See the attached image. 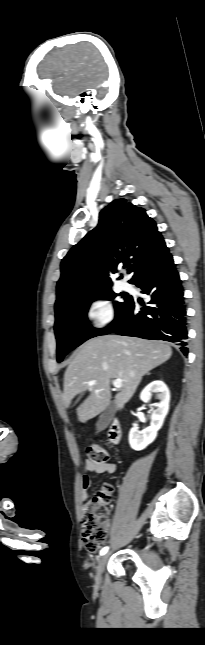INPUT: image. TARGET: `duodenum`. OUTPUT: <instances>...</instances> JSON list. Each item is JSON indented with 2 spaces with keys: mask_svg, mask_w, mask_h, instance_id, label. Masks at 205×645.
Listing matches in <instances>:
<instances>
[{
  "mask_svg": "<svg viewBox=\"0 0 205 645\" xmlns=\"http://www.w3.org/2000/svg\"><path fill=\"white\" fill-rule=\"evenodd\" d=\"M122 436L121 426L117 420H114L108 431L109 441L113 444L119 443Z\"/></svg>",
  "mask_w": 205,
  "mask_h": 645,
  "instance_id": "obj_1",
  "label": "duodenum"
}]
</instances>
